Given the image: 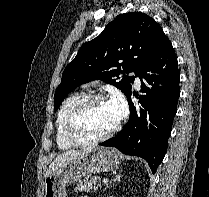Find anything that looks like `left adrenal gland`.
Instances as JSON below:
<instances>
[{
	"instance_id": "1",
	"label": "left adrenal gland",
	"mask_w": 209,
	"mask_h": 197,
	"mask_svg": "<svg viewBox=\"0 0 209 197\" xmlns=\"http://www.w3.org/2000/svg\"><path fill=\"white\" fill-rule=\"evenodd\" d=\"M120 178H121L120 175H115L114 178L109 182V184H107V186H106L105 189H107L108 187H110L111 182H115V181H117V180H120ZM105 189H104V190H105Z\"/></svg>"
}]
</instances>
